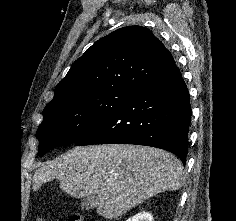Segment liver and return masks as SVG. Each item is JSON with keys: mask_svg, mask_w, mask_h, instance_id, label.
<instances>
[{"mask_svg": "<svg viewBox=\"0 0 236 221\" xmlns=\"http://www.w3.org/2000/svg\"><path fill=\"white\" fill-rule=\"evenodd\" d=\"M54 179L75 198L97 196V213L115 219L161 192L182 188L185 172L165 150L107 144L75 147L43 165L34 173L33 190Z\"/></svg>", "mask_w": 236, "mask_h": 221, "instance_id": "obj_1", "label": "liver"}]
</instances>
